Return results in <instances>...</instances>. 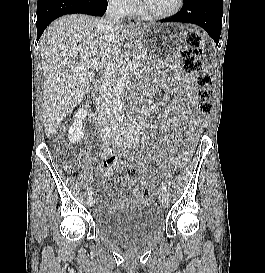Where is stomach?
<instances>
[{
    "label": "stomach",
    "mask_w": 265,
    "mask_h": 273,
    "mask_svg": "<svg viewBox=\"0 0 265 273\" xmlns=\"http://www.w3.org/2000/svg\"><path fill=\"white\" fill-rule=\"evenodd\" d=\"M194 25H154L138 27L131 31L137 37L138 44H132V49H146L138 55L140 64H173L174 51H161V49H177L179 40L186 35L185 30H194ZM158 49V51H151Z\"/></svg>",
    "instance_id": "0dacf381"
}]
</instances>
